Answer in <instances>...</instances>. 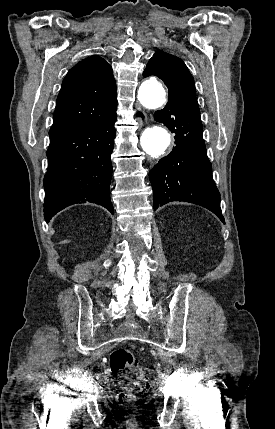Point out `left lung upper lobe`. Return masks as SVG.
<instances>
[{
    "instance_id": "left-lung-upper-lobe-1",
    "label": "left lung upper lobe",
    "mask_w": 275,
    "mask_h": 429,
    "mask_svg": "<svg viewBox=\"0 0 275 429\" xmlns=\"http://www.w3.org/2000/svg\"><path fill=\"white\" fill-rule=\"evenodd\" d=\"M143 75H155L162 79L168 88L169 98L187 97L197 103L193 77L180 58L157 51L149 60Z\"/></svg>"
}]
</instances>
